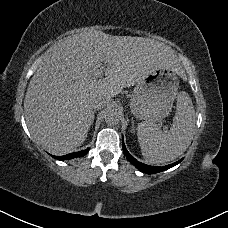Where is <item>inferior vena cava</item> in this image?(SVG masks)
<instances>
[{
	"label": "inferior vena cava",
	"instance_id": "inferior-vena-cava-1",
	"mask_svg": "<svg viewBox=\"0 0 228 228\" xmlns=\"http://www.w3.org/2000/svg\"><path fill=\"white\" fill-rule=\"evenodd\" d=\"M107 103H108L107 100L102 96L95 93L91 95L90 106L92 109L100 110L104 108Z\"/></svg>",
	"mask_w": 228,
	"mask_h": 228
}]
</instances>
